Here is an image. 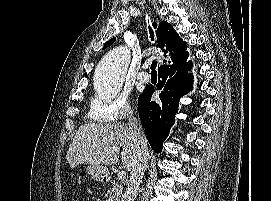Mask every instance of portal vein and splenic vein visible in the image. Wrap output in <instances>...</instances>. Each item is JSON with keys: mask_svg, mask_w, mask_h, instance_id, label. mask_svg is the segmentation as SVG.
I'll use <instances>...</instances> for the list:
<instances>
[{"mask_svg": "<svg viewBox=\"0 0 271 201\" xmlns=\"http://www.w3.org/2000/svg\"><path fill=\"white\" fill-rule=\"evenodd\" d=\"M125 178H126V172L125 171H119L118 179L119 180H125Z\"/></svg>", "mask_w": 271, "mask_h": 201, "instance_id": "obj_1", "label": "portal vein and splenic vein"}]
</instances>
